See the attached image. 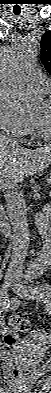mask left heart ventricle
I'll return each instance as SVG.
<instances>
[{
	"instance_id": "obj_1",
	"label": "left heart ventricle",
	"mask_w": 51,
	"mask_h": 393,
	"mask_svg": "<svg viewBox=\"0 0 51 393\" xmlns=\"http://www.w3.org/2000/svg\"><path fill=\"white\" fill-rule=\"evenodd\" d=\"M34 118L41 120L46 127H51V106L45 101L40 105Z\"/></svg>"
}]
</instances>
